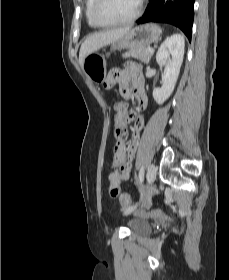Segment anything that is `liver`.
<instances>
[{
    "mask_svg": "<svg viewBox=\"0 0 229 280\" xmlns=\"http://www.w3.org/2000/svg\"><path fill=\"white\" fill-rule=\"evenodd\" d=\"M130 31V27L107 30L90 34L82 43L79 51V62L82 64L84 58L98 49L111 44L114 41L122 38Z\"/></svg>",
    "mask_w": 229,
    "mask_h": 280,
    "instance_id": "obj_1",
    "label": "liver"
}]
</instances>
